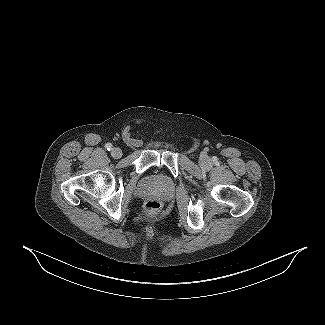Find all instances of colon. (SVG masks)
Wrapping results in <instances>:
<instances>
[{
	"label": "colon",
	"mask_w": 325,
	"mask_h": 325,
	"mask_svg": "<svg viewBox=\"0 0 325 325\" xmlns=\"http://www.w3.org/2000/svg\"><path fill=\"white\" fill-rule=\"evenodd\" d=\"M161 203L157 199H149L145 202L144 209L149 215H156L161 210Z\"/></svg>",
	"instance_id": "5ec220e1"
}]
</instances>
